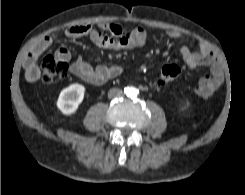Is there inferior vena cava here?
<instances>
[{"instance_id": "1", "label": "inferior vena cava", "mask_w": 245, "mask_h": 195, "mask_svg": "<svg viewBox=\"0 0 245 195\" xmlns=\"http://www.w3.org/2000/svg\"><path fill=\"white\" fill-rule=\"evenodd\" d=\"M123 95V91L121 89H118V88H112L109 90L108 92V97L110 99H113V98H119Z\"/></svg>"}]
</instances>
